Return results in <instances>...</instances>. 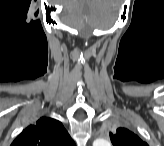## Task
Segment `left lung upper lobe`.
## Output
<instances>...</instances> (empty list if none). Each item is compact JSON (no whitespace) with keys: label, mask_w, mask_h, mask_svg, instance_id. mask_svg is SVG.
Masks as SVG:
<instances>
[{"label":"left lung upper lobe","mask_w":164,"mask_h":146,"mask_svg":"<svg viewBox=\"0 0 164 146\" xmlns=\"http://www.w3.org/2000/svg\"><path fill=\"white\" fill-rule=\"evenodd\" d=\"M110 139L115 146H146L135 133L121 127L110 133Z\"/></svg>","instance_id":"obj_1"}]
</instances>
